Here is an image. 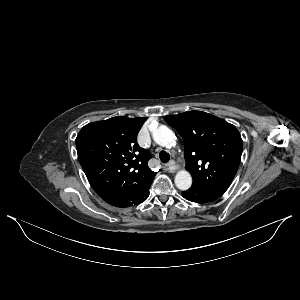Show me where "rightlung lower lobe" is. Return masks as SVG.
<instances>
[{"mask_svg":"<svg viewBox=\"0 0 300 300\" xmlns=\"http://www.w3.org/2000/svg\"><path fill=\"white\" fill-rule=\"evenodd\" d=\"M150 185L143 190L127 191L122 194L113 196L105 201L112 206L120 207V208L137 205L145 201L149 196Z\"/></svg>","mask_w":300,"mask_h":300,"instance_id":"right-lung-lower-lobe-1","label":"right lung lower lobe"}]
</instances>
